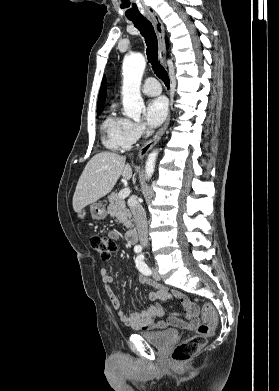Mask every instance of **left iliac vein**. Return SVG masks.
I'll list each match as a JSON object with an SVG mask.
<instances>
[{
	"label": "left iliac vein",
	"mask_w": 279,
	"mask_h": 391,
	"mask_svg": "<svg viewBox=\"0 0 279 391\" xmlns=\"http://www.w3.org/2000/svg\"><path fill=\"white\" fill-rule=\"evenodd\" d=\"M153 278L156 280V281H159L160 280V275H159V273H158V271H157V269L156 268H153Z\"/></svg>",
	"instance_id": "1"
}]
</instances>
